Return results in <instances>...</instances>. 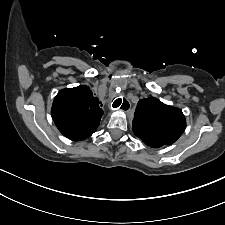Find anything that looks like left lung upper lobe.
I'll return each instance as SVG.
<instances>
[{
  "label": "left lung upper lobe",
  "mask_w": 225,
  "mask_h": 225,
  "mask_svg": "<svg viewBox=\"0 0 225 225\" xmlns=\"http://www.w3.org/2000/svg\"><path fill=\"white\" fill-rule=\"evenodd\" d=\"M186 120L178 108L149 97L137 104L133 132L151 147L173 144L184 132Z\"/></svg>",
  "instance_id": "1"
}]
</instances>
